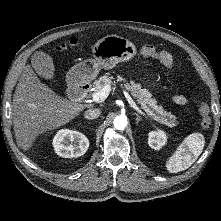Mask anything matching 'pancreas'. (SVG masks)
I'll return each instance as SVG.
<instances>
[{"mask_svg":"<svg viewBox=\"0 0 221 221\" xmlns=\"http://www.w3.org/2000/svg\"><path fill=\"white\" fill-rule=\"evenodd\" d=\"M113 77L110 73H106L98 80L94 81L93 87L95 92L101 90L106 84L112 83ZM118 81H125V78L118 77ZM125 88L131 92L141 108L146 111L147 115L167 125L174 127L177 125L176 117L170 112L164 111L161 105H157V101L151 98V93L147 89H142L140 84L130 81L125 84Z\"/></svg>","mask_w":221,"mask_h":221,"instance_id":"pancreas-1","label":"pancreas"}]
</instances>
